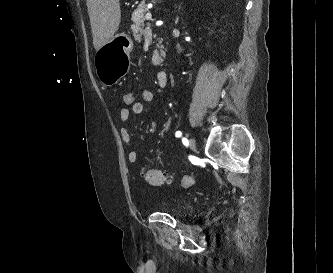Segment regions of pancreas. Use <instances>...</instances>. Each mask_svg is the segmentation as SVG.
<instances>
[{
	"label": "pancreas",
	"mask_w": 333,
	"mask_h": 273,
	"mask_svg": "<svg viewBox=\"0 0 333 273\" xmlns=\"http://www.w3.org/2000/svg\"><path fill=\"white\" fill-rule=\"evenodd\" d=\"M147 11H148L147 4L141 3L132 14L131 20L133 23L131 25V29H132L133 34L137 35L138 37H141L142 35H144L148 30V28H146L145 30L143 29L144 20H145L144 15L146 14ZM157 47H160L161 49H160V54L158 51H155L153 54L152 63L154 65H160L165 56L161 42L157 45Z\"/></svg>",
	"instance_id": "1"
}]
</instances>
